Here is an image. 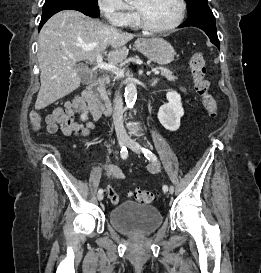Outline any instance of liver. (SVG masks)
Here are the masks:
<instances>
[{
  "mask_svg": "<svg viewBox=\"0 0 261 273\" xmlns=\"http://www.w3.org/2000/svg\"><path fill=\"white\" fill-rule=\"evenodd\" d=\"M134 35L105 25L75 10H63L53 15L42 27L38 61L41 87L35 109L40 110L65 97L81 84L76 63L97 60L105 55L110 64L127 58L125 44ZM111 47L107 53L106 49Z\"/></svg>",
  "mask_w": 261,
  "mask_h": 273,
  "instance_id": "1",
  "label": "liver"
}]
</instances>
